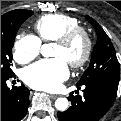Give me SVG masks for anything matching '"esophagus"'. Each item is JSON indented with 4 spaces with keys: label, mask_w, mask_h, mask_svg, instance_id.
I'll list each match as a JSON object with an SVG mask.
<instances>
[{
    "label": "esophagus",
    "mask_w": 121,
    "mask_h": 121,
    "mask_svg": "<svg viewBox=\"0 0 121 121\" xmlns=\"http://www.w3.org/2000/svg\"><path fill=\"white\" fill-rule=\"evenodd\" d=\"M49 97H50L51 99H56V98L58 97V95L51 94V95H49Z\"/></svg>",
    "instance_id": "1"
}]
</instances>
